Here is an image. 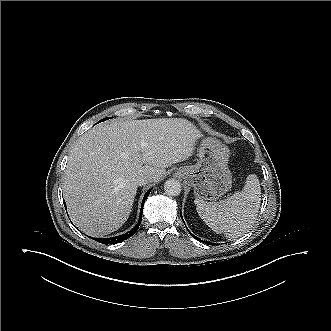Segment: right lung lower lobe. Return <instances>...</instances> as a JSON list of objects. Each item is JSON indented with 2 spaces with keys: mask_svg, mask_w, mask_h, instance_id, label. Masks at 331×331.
Returning a JSON list of instances; mask_svg holds the SVG:
<instances>
[{
  "mask_svg": "<svg viewBox=\"0 0 331 331\" xmlns=\"http://www.w3.org/2000/svg\"><path fill=\"white\" fill-rule=\"evenodd\" d=\"M150 191H151V189L146 192V194L143 198L142 206H141V212H140V215H141L140 219H139L138 223L136 224V226L131 231L127 232L126 234L111 237V238H101V239L100 238H92V239L96 240L100 243H103V244H116V243L122 242V241L128 239L129 237H131L138 230V228L140 226V223H141V220H142L143 205H144V202H145L146 198L148 197Z\"/></svg>",
  "mask_w": 331,
  "mask_h": 331,
  "instance_id": "1",
  "label": "right lung lower lobe"
}]
</instances>
